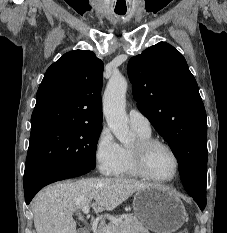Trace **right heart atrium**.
Segmentation results:
<instances>
[{
  "instance_id": "1",
  "label": "right heart atrium",
  "mask_w": 227,
  "mask_h": 233,
  "mask_svg": "<svg viewBox=\"0 0 227 233\" xmlns=\"http://www.w3.org/2000/svg\"><path fill=\"white\" fill-rule=\"evenodd\" d=\"M94 157L99 170L105 175H116L122 164V147L110 129L103 126L94 145Z\"/></svg>"
}]
</instances>
